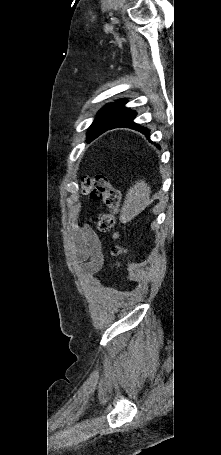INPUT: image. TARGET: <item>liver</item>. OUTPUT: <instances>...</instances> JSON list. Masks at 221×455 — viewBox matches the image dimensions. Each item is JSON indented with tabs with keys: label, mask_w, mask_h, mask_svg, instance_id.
I'll list each match as a JSON object with an SVG mask.
<instances>
[{
	"label": "liver",
	"mask_w": 221,
	"mask_h": 455,
	"mask_svg": "<svg viewBox=\"0 0 221 455\" xmlns=\"http://www.w3.org/2000/svg\"><path fill=\"white\" fill-rule=\"evenodd\" d=\"M150 186L144 180H138L127 191L119 220L127 223L140 214L150 203Z\"/></svg>",
	"instance_id": "1"
}]
</instances>
